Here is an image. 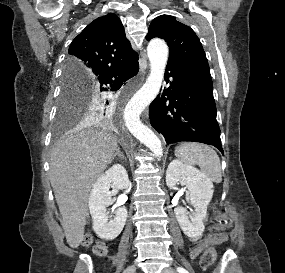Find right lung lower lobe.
<instances>
[{
	"label": "right lung lower lobe",
	"mask_w": 285,
	"mask_h": 273,
	"mask_svg": "<svg viewBox=\"0 0 285 273\" xmlns=\"http://www.w3.org/2000/svg\"><path fill=\"white\" fill-rule=\"evenodd\" d=\"M139 71L138 59L123 65L121 67L106 71L103 74L98 75L91 81V86L97 88L100 91L105 92H117L125 85V83L132 77H134ZM107 104L109 105L108 101ZM112 105L103 107V112L99 117L101 121H104L111 117Z\"/></svg>",
	"instance_id": "obj_1"
}]
</instances>
